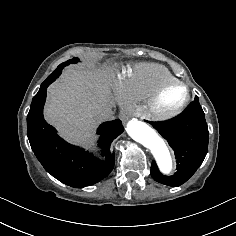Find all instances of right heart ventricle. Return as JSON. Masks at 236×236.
<instances>
[{"mask_svg": "<svg viewBox=\"0 0 236 236\" xmlns=\"http://www.w3.org/2000/svg\"><path fill=\"white\" fill-rule=\"evenodd\" d=\"M174 80L175 76L162 65H136L130 78L122 85L123 98L128 102L147 101L161 84Z\"/></svg>", "mask_w": 236, "mask_h": 236, "instance_id": "e07e8e85", "label": "right heart ventricle"}]
</instances>
